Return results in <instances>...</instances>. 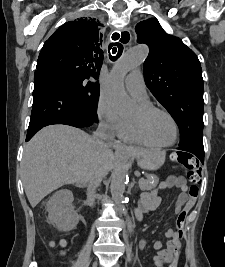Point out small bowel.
Masks as SVG:
<instances>
[{"label":"small bowel","mask_w":225,"mask_h":267,"mask_svg":"<svg viewBox=\"0 0 225 267\" xmlns=\"http://www.w3.org/2000/svg\"><path fill=\"white\" fill-rule=\"evenodd\" d=\"M173 187H176L182 191L175 205V211L179 212L187 201V195L185 193L187 190V182L183 176L174 175L164 181L158 189L142 197L138 208V214L141 215L142 212L155 211L160 205V192ZM165 236L168 239L165 248H163L162 241L158 240L153 244L154 249L158 251L156 256L153 258V262L156 267H162L164 263L170 262L176 248L181 244V239H179L177 231H174L170 228L167 230ZM139 245L141 248H144L146 246V240L142 238Z\"/></svg>","instance_id":"c3829d8e"}]
</instances>
